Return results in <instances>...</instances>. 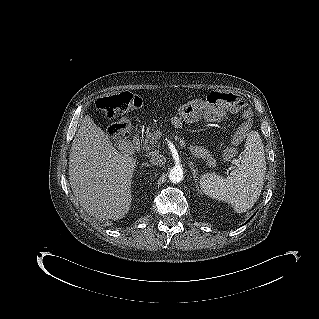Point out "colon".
Returning a JSON list of instances; mask_svg holds the SVG:
<instances>
[{
    "instance_id": "5ec220e1",
    "label": "colon",
    "mask_w": 319,
    "mask_h": 319,
    "mask_svg": "<svg viewBox=\"0 0 319 319\" xmlns=\"http://www.w3.org/2000/svg\"><path fill=\"white\" fill-rule=\"evenodd\" d=\"M206 103L212 108L220 106H230L234 109H239L244 106L242 98L232 92L212 91L206 96ZM142 105V100L131 94L130 92H121L109 96L100 97L95 107L108 118L117 117V121L109 128V134L113 138H121L125 136L130 128L129 120L124 116L129 110L139 108ZM243 137V129L231 139V144L223 149V156L231 158L236 155L237 149L235 145L240 142Z\"/></svg>"
}]
</instances>
